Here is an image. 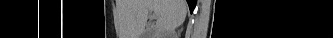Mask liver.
<instances>
[{"label":"liver","mask_w":333,"mask_h":38,"mask_svg":"<svg viewBox=\"0 0 333 38\" xmlns=\"http://www.w3.org/2000/svg\"><path fill=\"white\" fill-rule=\"evenodd\" d=\"M136 36L143 34L149 12L156 13L158 31L173 32L186 17L187 3L185 0H137L136 1Z\"/></svg>","instance_id":"1"}]
</instances>
